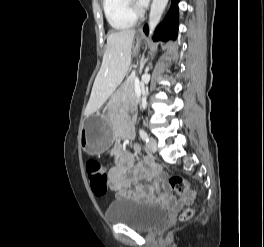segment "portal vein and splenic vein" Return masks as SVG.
Here are the masks:
<instances>
[{"instance_id":"18ae733b","label":"portal vein and splenic vein","mask_w":264,"mask_h":247,"mask_svg":"<svg viewBox=\"0 0 264 247\" xmlns=\"http://www.w3.org/2000/svg\"><path fill=\"white\" fill-rule=\"evenodd\" d=\"M134 81H135L136 83H138V82H139L138 78H135V79H134Z\"/></svg>"}]
</instances>
